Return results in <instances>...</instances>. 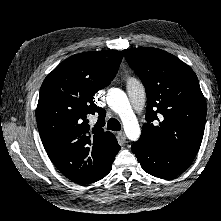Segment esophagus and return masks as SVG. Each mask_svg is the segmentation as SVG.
Returning <instances> with one entry per match:
<instances>
[{"label": "esophagus", "instance_id": "esophagus-1", "mask_svg": "<svg viewBox=\"0 0 221 221\" xmlns=\"http://www.w3.org/2000/svg\"><path fill=\"white\" fill-rule=\"evenodd\" d=\"M118 138L121 140L125 141L126 140V135L123 131L117 133Z\"/></svg>", "mask_w": 221, "mask_h": 221}]
</instances>
